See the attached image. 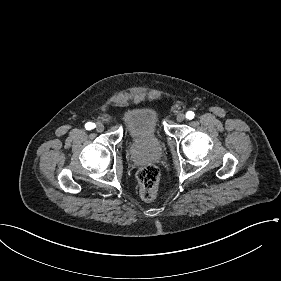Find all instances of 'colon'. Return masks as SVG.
Instances as JSON below:
<instances>
[{
	"instance_id": "colon-1",
	"label": "colon",
	"mask_w": 281,
	"mask_h": 281,
	"mask_svg": "<svg viewBox=\"0 0 281 281\" xmlns=\"http://www.w3.org/2000/svg\"><path fill=\"white\" fill-rule=\"evenodd\" d=\"M160 173L155 165H146L138 172V181L141 186V195L145 200L156 196Z\"/></svg>"
}]
</instances>
